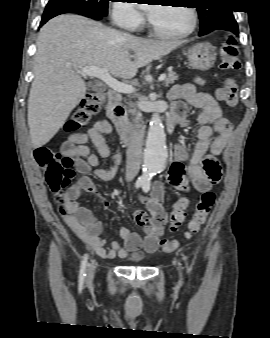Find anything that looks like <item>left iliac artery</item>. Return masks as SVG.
<instances>
[{
  "label": "left iliac artery",
  "instance_id": "obj_1",
  "mask_svg": "<svg viewBox=\"0 0 270 338\" xmlns=\"http://www.w3.org/2000/svg\"><path fill=\"white\" fill-rule=\"evenodd\" d=\"M142 188H143V191L147 193L150 190V183L149 182L145 183ZM183 259L186 260V257H183ZM188 271H190L189 268H188Z\"/></svg>",
  "mask_w": 270,
  "mask_h": 338
}]
</instances>
